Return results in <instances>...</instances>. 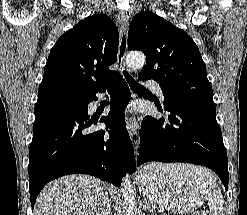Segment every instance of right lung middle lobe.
Segmentation results:
<instances>
[{"instance_id": "1", "label": "right lung middle lobe", "mask_w": 247, "mask_h": 215, "mask_svg": "<svg viewBox=\"0 0 247 215\" xmlns=\"http://www.w3.org/2000/svg\"><path fill=\"white\" fill-rule=\"evenodd\" d=\"M61 91H64V92H67V93H70V94L77 95V93H74V92H70V91H66V90H61Z\"/></svg>"}]
</instances>
